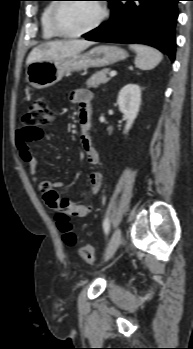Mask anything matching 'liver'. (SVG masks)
Returning a JSON list of instances; mask_svg holds the SVG:
<instances>
[{
  "label": "liver",
  "instance_id": "liver-1",
  "mask_svg": "<svg viewBox=\"0 0 193 349\" xmlns=\"http://www.w3.org/2000/svg\"><path fill=\"white\" fill-rule=\"evenodd\" d=\"M94 42L86 40H61L50 41L32 49L26 64L27 66L36 61H56L81 53Z\"/></svg>",
  "mask_w": 193,
  "mask_h": 349
}]
</instances>
